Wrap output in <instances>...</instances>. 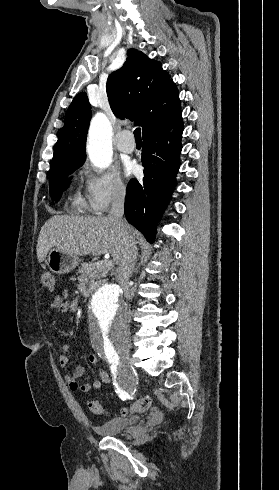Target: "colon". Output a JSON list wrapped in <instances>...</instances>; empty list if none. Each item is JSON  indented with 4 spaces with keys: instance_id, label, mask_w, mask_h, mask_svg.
<instances>
[{
    "instance_id": "obj_1",
    "label": "colon",
    "mask_w": 279,
    "mask_h": 490,
    "mask_svg": "<svg viewBox=\"0 0 279 490\" xmlns=\"http://www.w3.org/2000/svg\"><path fill=\"white\" fill-rule=\"evenodd\" d=\"M40 284L43 288L54 289L56 286V276L52 271L45 270L41 274ZM152 405V398L149 396L137 399L133 404L124 407L123 414H139L146 412ZM88 409L91 413L102 415L105 413L102 402L99 400H91L88 402Z\"/></svg>"
}]
</instances>
